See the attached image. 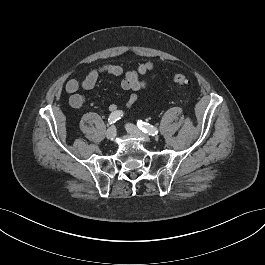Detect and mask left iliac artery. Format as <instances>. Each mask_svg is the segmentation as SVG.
<instances>
[{"label":"left iliac artery","instance_id":"obj_1","mask_svg":"<svg viewBox=\"0 0 265 265\" xmlns=\"http://www.w3.org/2000/svg\"><path fill=\"white\" fill-rule=\"evenodd\" d=\"M137 126L142 132L147 133L148 135H156L158 133V129L149 123L142 122L141 120H138Z\"/></svg>","mask_w":265,"mask_h":265}]
</instances>
